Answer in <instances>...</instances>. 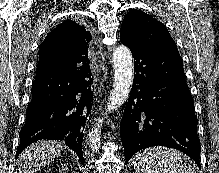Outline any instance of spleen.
Masks as SVG:
<instances>
[{"instance_id":"1","label":"spleen","mask_w":219,"mask_h":173,"mask_svg":"<svg viewBox=\"0 0 219 173\" xmlns=\"http://www.w3.org/2000/svg\"><path fill=\"white\" fill-rule=\"evenodd\" d=\"M136 173H195L178 151L153 147L136 153L132 158Z\"/></svg>"}]
</instances>
